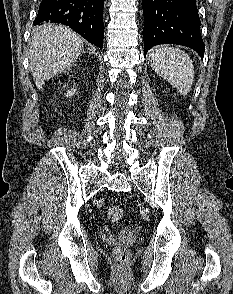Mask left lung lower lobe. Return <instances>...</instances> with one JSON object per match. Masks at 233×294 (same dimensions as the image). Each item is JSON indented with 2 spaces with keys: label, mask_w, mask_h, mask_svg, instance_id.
Returning <instances> with one entry per match:
<instances>
[{
  "label": "left lung lower lobe",
  "mask_w": 233,
  "mask_h": 294,
  "mask_svg": "<svg viewBox=\"0 0 233 294\" xmlns=\"http://www.w3.org/2000/svg\"><path fill=\"white\" fill-rule=\"evenodd\" d=\"M142 5L145 54L155 45L177 44L203 57L205 46L195 0H142Z\"/></svg>",
  "instance_id": "1"
}]
</instances>
